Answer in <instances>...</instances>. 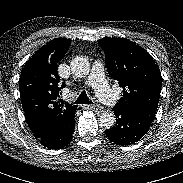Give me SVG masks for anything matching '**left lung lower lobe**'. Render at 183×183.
Segmentation results:
<instances>
[{
    "label": "left lung lower lobe",
    "instance_id": "0a47b994",
    "mask_svg": "<svg viewBox=\"0 0 183 183\" xmlns=\"http://www.w3.org/2000/svg\"><path fill=\"white\" fill-rule=\"evenodd\" d=\"M116 125L105 130L107 137L115 144L124 146L139 141L149 130L151 122L122 110L114 109Z\"/></svg>",
    "mask_w": 183,
    "mask_h": 183
}]
</instances>
